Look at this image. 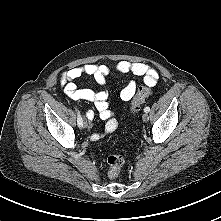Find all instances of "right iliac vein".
<instances>
[{"instance_id":"1","label":"right iliac vein","mask_w":221,"mask_h":221,"mask_svg":"<svg viewBox=\"0 0 221 221\" xmlns=\"http://www.w3.org/2000/svg\"><path fill=\"white\" fill-rule=\"evenodd\" d=\"M83 127H87V122L86 121L83 122Z\"/></svg>"}]
</instances>
